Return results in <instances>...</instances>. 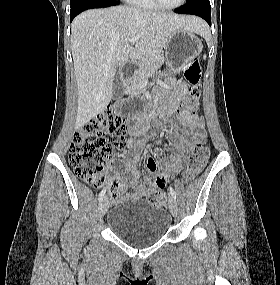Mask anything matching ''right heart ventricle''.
I'll return each mask as SVG.
<instances>
[{"label": "right heart ventricle", "instance_id": "obj_1", "mask_svg": "<svg viewBox=\"0 0 280 285\" xmlns=\"http://www.w3.org/2000/svg\"><path fill=\"white\" fill-rule=\"evenodd\" d=\"M128 1H130L134 6L139 8L151 9V10L158 9V7L155 5V3L152 0H128Z\"/></svg>", "mask_w": 280, "mask_h": 285}]
</instances>
